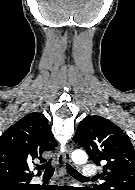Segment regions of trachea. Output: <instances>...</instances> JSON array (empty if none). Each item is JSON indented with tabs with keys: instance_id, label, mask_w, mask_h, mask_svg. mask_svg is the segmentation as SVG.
I'll return each instance as SVG.
<instances>
[{
	"instance_id": "3493384b",
	"label": "trachea",
	"mask_w": 135,
	"mask_h": 190,
	"mask_svg": "<svg viewBox=\"0 0 135 190\" xmlns=\"http://www.w3.org/2000/svg\"><path fill=\"white\" fill-rule=\"evenodd\" d=\"M38 169L45 170L44 177H51L54 173V167L52 166L51 160L45 163L42 166H38ZM67 172L77 179H85L77 170L71 167L68 163H66Z\"/></svg>"
}]
</instances>
